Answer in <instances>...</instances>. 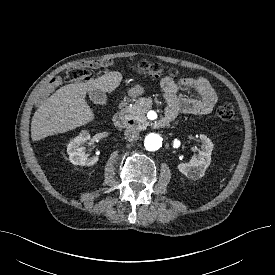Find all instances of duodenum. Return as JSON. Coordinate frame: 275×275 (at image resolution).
Here are the masks:
<instances>
[{
  "label": "duodenum",
  "mask_w": 275,
  "mask_h": 275,
  "mask_svg": "<svg viewBox=\"0 0 275 275\" xmlns=\"http://www.w3.org/2000/svg\"><path fill=\"white\" fill-rule=\"evenodd\" d=\"M126 107H127V101H122L119 105V111L116 113V115L113 118L114 125L118 128L125 127L130 123L129 118L126 113ZM167 122L166 119L160 121L158 124L160 126L165 125Z\"/></svg>",
  "instance_id": "1"
}]
</instances>
